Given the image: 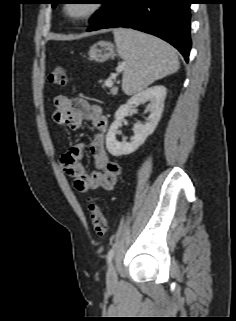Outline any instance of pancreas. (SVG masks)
<instances>
[{"label":"pancreas","instance_id":"pancreas-1","mask_svg":"<svg viewBox=\"0 0 236 321\" xmlns=\"http://www.w3.org/2000/svg\"><path fill=\"white\" fill-rule=\"evenodd\" d=\"M109 79L112 80V77L109 78ZM107 88L110 89V94H112V95H116L117 94L118 89H117V87L113 86V82H112L111 85H109V86L107 85Z\"/></svg>","mask_w":236,"mask_h":321}]
</instances>
